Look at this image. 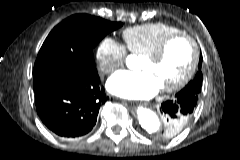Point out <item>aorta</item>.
Returning a JSON list of instances; mask_svg holds the SVG:
<instances>
[{"label": "aorta", "mask_w": 240, "mask_h": 160, "mask_svg": "<svg viewBox=\"0 0 240 160\" xmlns=\"http://www.w3.org/2000/svg\"><path fill=\"white\" fill-rule=\"evenodd\" d=\"M137 117L141 127L149 134H156L160 129V120L151 109L140 106L137 108Z\"/></svg>", "instance_id": "aorta-1"}]
</instances>
